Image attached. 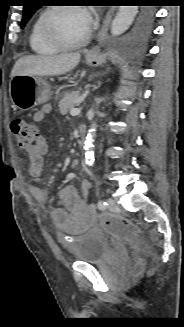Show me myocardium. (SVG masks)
<instances>
[{"instance_id":"1","label":"myocardium","mask_w":184,"mask_h":327,"mask_svg":"<svg viewBox=\"0 0 184 327\" xmlns=\"http://www.w3.org/2000/svg\"><path fill=\"white\" fill-rule=\"evenodd\" d=\"M68 9H80L79 7L73 6H54L47 10L43 22L42 29L45 37L55 46L60 49H75L84 46L91 38L92 29L89 26L87 33L78 41L66 40L56 29L55 16L58 12ZM81 10V9H80Z\"/></svg>"}]
</instances>
